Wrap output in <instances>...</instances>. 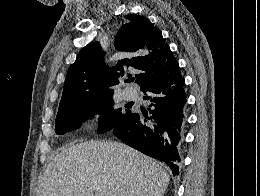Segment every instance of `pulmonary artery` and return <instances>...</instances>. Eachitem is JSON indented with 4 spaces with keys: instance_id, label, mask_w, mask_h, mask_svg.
Wrapping results in <instances>:
<instances>
[{
    "instance_id": "obj_1",
    "label": "pulmonary artery",
    "mask_w": 260,
    "mask_h": 196,
    "mask_svg": "<svg viewBox=\"0 0 260 196\" xmlns=\"http://www.w3.org/2000/svg\"><path fill=\"white\" fill-rule=\"evenodd\" d=\"M122 97L127 101H136L138 99V93L133 87H126L122 91Z\"/></svg>"
}]
</instances>
